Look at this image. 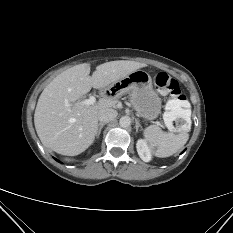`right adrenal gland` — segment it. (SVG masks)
I'll return each mask as SVG.
<instances>
[{"mask_svg": "<svg viewBox=\"0 0 233 233\" xmlns=\"http://www.w3.org/2000/svg\"><path fill=\"white\" fill-rule=\"evenodd\" d=\"M106 123H99V127H98V131H97V138H99L100 136V133H101V130L103 128V126L105 125Z\"/></svg>", "mask_w": 233, "mask_h": 233, "instance_id": "2a0ac1e0", "label": "right adrenal gland"}]
</instances>
